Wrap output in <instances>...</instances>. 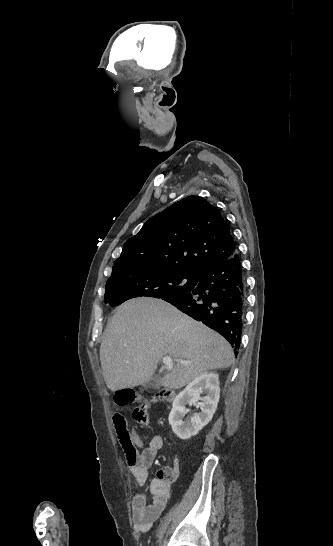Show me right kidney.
Here are the masks:
<instances>
[{"label": "right kidney", "instance_id": "obj_1", "mask_svg": "<svg viewBox=\"0 0 333 546\" xmlns=\"http://www.w3.org/2000/svg\"><path fill=\"white\" fill-rule=\"evenodd\" d=\"M204 392L206 396L200 397ZM219 375L205 372L192 380L173 400L169 414V423L173 432L183 440L189 439L207 425L216 411L219 402ZM202 400L201 411L192 414L190 420H184L189 409L187 405L197 404Z\"/></svg>", "mask_w": 333, "mask_h": 546}]
</instances>
